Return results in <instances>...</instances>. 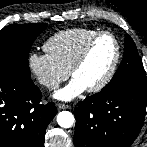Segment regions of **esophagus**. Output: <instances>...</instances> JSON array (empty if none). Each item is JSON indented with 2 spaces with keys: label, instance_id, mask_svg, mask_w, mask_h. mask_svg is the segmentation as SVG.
Segmentation results:
<instances>
[{
  "label": "esophagus",
  "instance_id": "1",
  "mask_svg": "<svg viewBox=\"0 0 147 147\" xmlns=\"http://www.w3.org/2000/svg\"><path fill=\"white\" fill-rule=\"evenodd\" d=\"M57 107H58V109H60V110L69 109V108H70L69 105L64 104V103H58V104H57Z\"/></svg>",
  "mask_w": 147,
  "mask_h": 147
}]
</instances>
